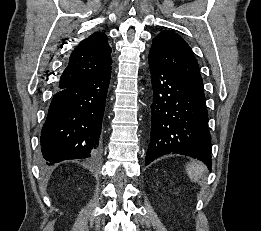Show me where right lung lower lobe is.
Listing matches in <instances>:
<instances>
[{
  "instance_id": "right-lung-lower-lobe-1",
  "label": "right lung lower lobe",
  "mask_w": 261,
  "mask_h": 231,
  "mask_svg": "<svg viewBox=\"0 0 261 231\" xmlns=\"http://www.w3.org/2000/svg\"><path fill=\"white\" fill-rule=\"evenodd\" d=\"M110 77L111 67L53 96L41 131L45 164L98 155Z\"/></svg>"
}]
</instances>
